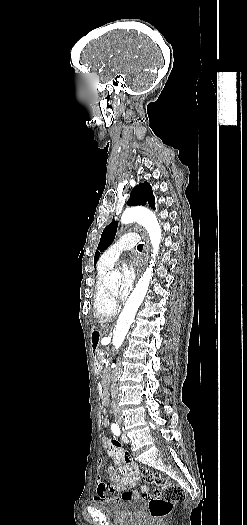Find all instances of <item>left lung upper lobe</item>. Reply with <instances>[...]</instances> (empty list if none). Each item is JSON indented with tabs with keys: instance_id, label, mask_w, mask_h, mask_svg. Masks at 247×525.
I'll return each instance as SVG.
<instances>
[{
	"instance_id": "1",
	"label": "left lung upper lobe",
	"mask_w": 247,
	"mask_h": 525,
	"mask_svg": "<svg viewBox=\"0 0 247 525\" xmlns=\"http://www.w3.org/2000/svg\"><path fill=\"white\" fill-rule=\"evenodd\" d=\"M146 203L149 204V206L153 209H155V197L153 195V191L151 189V186L148 182L139 183L131 192L130 198L127 202L130 206H136V205H146ZM118 227V221H112L102 232L100 242L98 244V250L102 252L105 250L108 246L111 245V243L114 241L116 231ZM96 251L95 257H94V265L96 264L100 252Z\"/></svg>"
}]
</instances>
